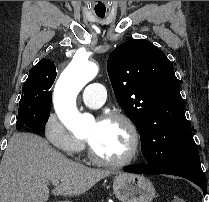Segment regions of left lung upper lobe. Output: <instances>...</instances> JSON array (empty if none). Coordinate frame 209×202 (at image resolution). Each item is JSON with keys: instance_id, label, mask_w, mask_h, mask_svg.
<instances>
[{"instance_id": "obj_1", "label": "left lung upper lobe", "mask_w": 209, "mask_h": 202, "mask_svg": "<svg viewBox=\"0 0 209 202\" xmlns=\"http://www.w3.org/2000/svg\"><path fill=\"white\" fill-rule=\"evenodd\" d=\"M107 70L119 105L139 131L148 164L166 165L196 145L174 67L162 50L145 39L126 41L111 52Z\"/></svg>"}]
</instances>
